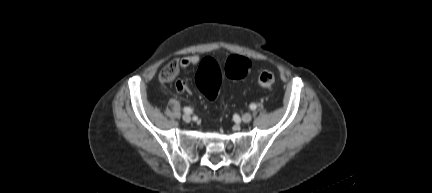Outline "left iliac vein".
Masks as SVG:
<instances>
[{
	"instance_id": "1",
	"label": "left iliac vein",
	"mask_w": 432,
	"mask_h": 193,
	"mask_svg": "<svg viewBox=\"0 0 432 193\" xmlns=\"http://www.w3.org/2000/svg\"><path fill=\"white\" fill-rule=\"evenodd\" d=\"M252 120V115L250 113H245L242 115V121L244 123H249Z\"/></svg>"
}]
</instances>
